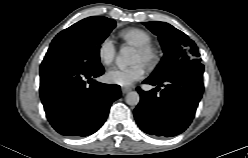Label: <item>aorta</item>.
Masks as SVG:
<instances>
[{
	"label": "aorta",
	"instance_id": "obj_1",
	"mask_svg": "<svg viewBox=\"0 0 248 158\" xmlns=\"http://www.w3.org/2000/svg\"><path fill=\"white\" fill-rule=\"evenodd\" d=\"M134 52L129 47H123L120 49V53L116 59L117 65L120 68H125L126 66L132 64ZM126 103L130 106H136L140 101V96L136 91H131L126 95Z\"/></svg>",
	"mask_w": 248,
	"mask_h": 158
}]
</instances>
